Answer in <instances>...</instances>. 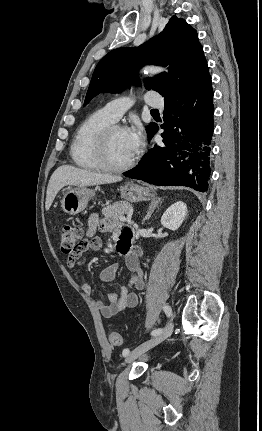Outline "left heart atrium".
Returning <instances> with one entry per match:
<instances>
[{
	"label": "left heart atrium",
	"instance_id": "1",
	"mask_svg": "<svg viewBox=\"0 0 262 431\" xmlns=\"http://www.w3.org/2000/svg\"><path fill=\"white\" fill-rule=\"evenodd\" d=\"M125 132L130 148L135 154L143 145V133L139 126H133Z\"/></svg>",
	"mask_w": 262,
	"mask_h": 431
}]
</instances>
